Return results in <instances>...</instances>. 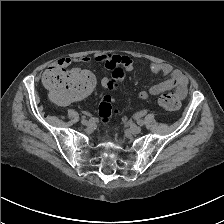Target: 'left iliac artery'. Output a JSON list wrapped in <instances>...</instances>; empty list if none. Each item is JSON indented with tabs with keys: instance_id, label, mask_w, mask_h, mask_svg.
Here are the masks:
<instances>
[{
	"instance_id": "1",
	"label": "left iliac artery",
	"mask_w": 224,
	"mask_h": 224,
	"mask_svg": "<svg viewBox=\"0 0 224 224\" xmlns=\"http://www.w3.org/2000/svg\"><path fill=\"white\" fill-rule=\"evenodd\" d=\"M138 125L143 126L144 125V121L143 120H137Z\"/></svg>"
}]
</instances>
